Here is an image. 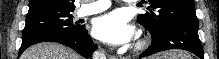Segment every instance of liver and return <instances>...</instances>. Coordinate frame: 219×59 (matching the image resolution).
<instances>
[{
    "label": "liver",
    "mask_w": 219,
    "mask_h": 59,
    "mask_svg": "<svg viewBox=\"0 0 219 59\" xmlns=\"http://www.w3.org/2000/svg\"><path fill=\"white\" fill-rule=\"evenodd\" d=\"M20 59H83L65 46L44 42L31 46L23 52Z\"/></svg>",
    "instance_id": "6515ba94"
}]
</instances>
